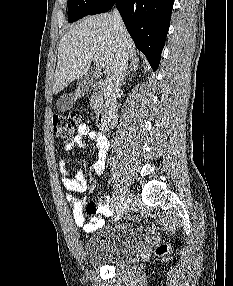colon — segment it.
<instances>
[{"label": "colon", "mask_w": 233, "mask_h": 286, "mask_svg": "<svg viewBox=\"0 0 233 286\" xmlns=\"http://www.w3.org/2000/svg\"><path fill=\"white\" fill-rule=\"evenodd\" d=\"M80 121L81 115L78 112L56 114L53 117L54 133L64 141H71ZM166 251V246H161L157 249L158 254H164Z\"/></svg>", "instance_id": "1"}]
</instances>
